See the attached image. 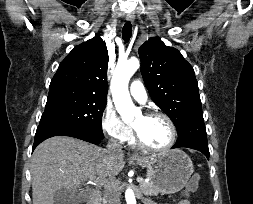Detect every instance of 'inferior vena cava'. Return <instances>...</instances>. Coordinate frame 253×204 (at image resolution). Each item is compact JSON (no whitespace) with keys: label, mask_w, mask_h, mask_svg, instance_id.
Masks as SVG:
<instances>
[{"label":"inferior vena cava","mask_w":253,"mask_h":204,"mask_svg":"<svg viewBox=\"0 0 253 204\" xmlns=\"http://www.w3.org/2000/svg\"><path fill=\"white\" fill-rule=\"evenodd\" d=\"M107 149L111 152H121L122 151L120 143L115 139H111L108 142ZM104 197H105V204H119L120 195L115 189L114 180H112L110 182V184L105 187Z\"/></svg>","instance_id":"1"}]
</instances>
